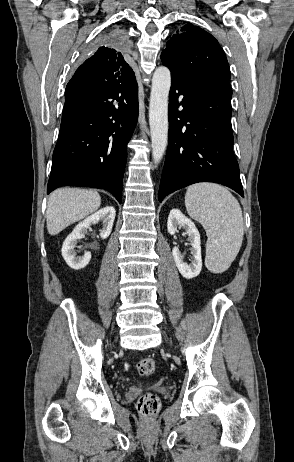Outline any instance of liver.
Returning a JSON list of instances; mask_svg holds the SVG:
<instances>
[{"label":"liver","instance_id":"6515ba94","mask_svg":"<svg viewBox=\"0 0 294 462\" xmlns=\"http://www.w3.org/2000/svg\"><path fill=\"white\" fill-rule=\"evenodd\" d=\"M101 197L97 191L61 188L49 196L46 224L50 235H56L63 229L87 217L98 210Z\"/></svg>","mask_w":294,"mask_h":462}]
</instances>
